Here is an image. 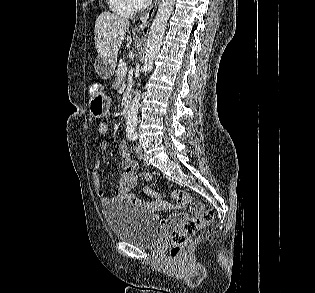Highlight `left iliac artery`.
<instances>
[{"label": "left iliac artery", "mask_w": 315, "mask_h": 293, "mask_svg": "<svg viewBox=\"0 0 315 293\" xmlns=\"http://www.w3.org/2000/svg\"><path fill=\"white\" fill-rule=\"evenodd\" d=\"M128 138H129V140L130 141H136L137 140V138H138V135H137V133L136 132H129L128 133Z\"/></svg>", "instance_id": "obj_1"}]
</instances>
